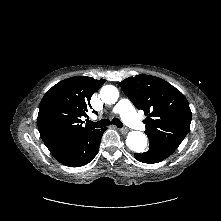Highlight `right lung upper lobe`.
Segmentation results:
<instances>
[{"label":"right lung upper lobe","instance_id":"right-lung-upper-lobe-1","mask_svg":"<svg viewBox=\"0 0 221 221\" xmlns=\"http://www.w3.org/2000/svg\"><path fill=\"white\" fill-rule=\"evenodd\" d=\"M105 81L75 76L62 80L46 92L39 105L37 125L51 153L94 130L88 125L82 126L81 117H87L89 107L92 108L90 98Z\"/></svg>","mask_w":221,"mask_h":221}]
</instances>
